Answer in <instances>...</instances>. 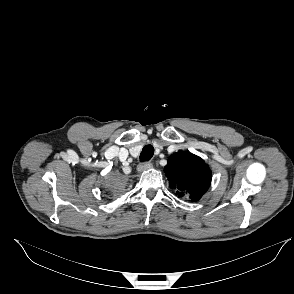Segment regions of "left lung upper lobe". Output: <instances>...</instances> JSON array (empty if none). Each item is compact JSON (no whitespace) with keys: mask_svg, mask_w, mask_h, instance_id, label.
Wrapping results in <instances>:
<instances>
[{"mask_svg":"<svg viewBox=\"0 0 294 294\" xmlns=\"http://www.w3.org/2000/svg\"><path fill=\"white\" fill-rule=\"evenodd\" d=\"M170 185L181 197L198 201L211 183V170L200 157L179 151L173 154L165 166Z\"/></svg>","mask_w":294,"mask_h":294,"instance_id":"5c2ea615","label":"left lung upper lobe"}]
</instances>
